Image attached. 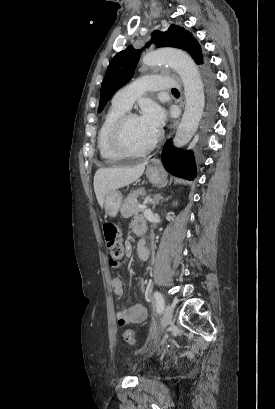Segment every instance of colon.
<instances>
[{
	"instance_id": "colon-1",
	"label": "colon",
	"mask_w": 275,
	"mask_h": 409,
	"mask_svg": "<svg viewBox=\"0 0 275 409\" xmlns=\"http://www.w3.org/2000/svg\"><path fill=\"white\" fill-rule=\"evenodd\" d=\"M102 231L107 248L110 251V256L115 260L118 257L124 256L123 243L121 242L122 228L119 224L112 221H106L103 223ZM124 339L130 346L136 344L135 334L132 329H126L124 331Z\"/></svg>"
}]
</instances>
